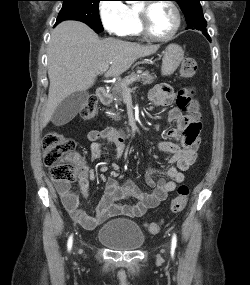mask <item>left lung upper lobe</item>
Here are the masks:
<instances>
[{
	"label": "left lung upper lobe",
	"instance_id": "5c2ea615",
	"mask_svg": "<svg viewBox=\"0 0 250 285\" xmlns=\"http://www.w3.org/2000/svg\"><path fill=\"white\" fill-rule=\"evenodd\" d=\"M183 11L188 28L207 32V23L204 19L201 0H175Z\"/></svg>",
	"mask_w": 250,
	"mask_h": 285
}]
</instances>
